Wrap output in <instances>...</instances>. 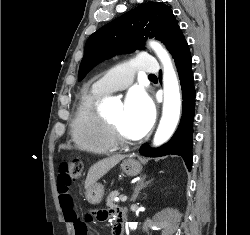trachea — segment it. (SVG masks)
Returning a JSON list of instances; mask_svg holds the SVG:
<instances>
[{
    "mask_svg": "<svg viewBox=\"0 0 250 235\" xmlns=\"http://www.w3.org/2000/svg\"><path fill=\"white\" fill-rule=\"evenodd\" d=\"M149 77H156L154 74H149Z\"/></svg>",
    "mask_w": 250,
    "mask_h": 235,
    "instance_id": "3493384b",
    "label": "trachea"
}]
</instances>
